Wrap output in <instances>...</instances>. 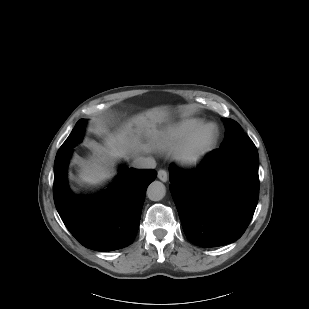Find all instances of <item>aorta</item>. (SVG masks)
Instances as JSON below:
<instances>
[{
    "mask_svg": "<svg viewBox=\"0 0 309 309\" xmlns=\"http://www.w3.org/2000/svg\"><path fill=\"white\" fill-rule=\"evenodd\" d=\"M166 194V187L160 181H153L147 188V196L152 201H160Z\"/></svg>",
    "mask_w": 309,
    "mask_h": 309,
    "instance_id": "obj_1",
    "label": "aorta"
}]
</instances>
